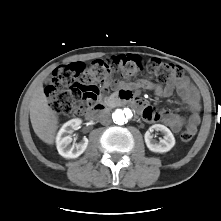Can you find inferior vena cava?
Returning <instances> with one entry per match:
<instances>
[{
  "instance_id": "1",
  "label": "inferior vena cava",
  "mask_w": 221,
  "mask_h": 221,
  "mask_svg": "<svg viewBox=\"0 0 221 221\" xmlns=\"http://www.w3.org/2000/svg\"><path fill=\"white\" fill-rule=\"evenodd\" d=\"M99 120L102 125H109L111 123L110 113L107 111H102L99 114Z\"/></svg>"
}]
</instances>
